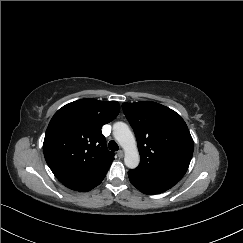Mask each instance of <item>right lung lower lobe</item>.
<instances>
[{
	"label": "right lung lower lobe",
	"mask_w": 243,
	"mask_h": 243,
	"mask_svg": "<svg viewBox=\"0 0 243 243\" xmlns=\"http://www.w3.org/2000/svg\"><path fill=\"white\" fill-rule=\"evenodd\" d=\"M109 167L110 165L105 166L104 168H102L95 174L91 175L90 177L73 183L66 184L65 186L76 191H83V192L89 191L102 182Z\"/></svg>",
	"instance_id": "right-lung-lower-lobe-1"
}]
</instances>
